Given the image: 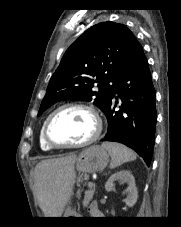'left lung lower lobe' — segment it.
I'll return each mask as SVG.
<instances>
[{"label": "left lung lower lobe", "mask_w": 181, "mask_h": 227, "mask_svg": "<svg viewBox=\"0 0 181 227\" xmlns=\"http://www.w3.org/2000/svg\"><path fill=\"white\" fill-rule=\"evenodd\" d=\"M120 110L115 111L118 98ZM156 93L148 61L140 45L122 76L104 112L109 126L102 141L120 142L136 151L150 165L156 131Z\"/></svg>", "instance_id": "obj_1"}]
</instances>
